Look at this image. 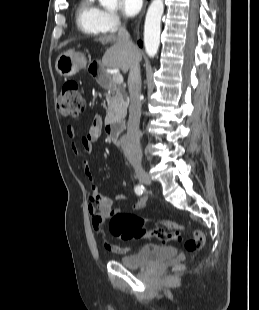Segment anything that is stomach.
<instances>
[{
    "label": "stomach",
    "instance_id": "1",
    "mask_svg": "<svg viewBox=\"0 0 259 310\" xmlns=\"http://www.w3.org/2000/svg\"><path fill=\"white\" fill-rule=\"evenodd\" d=\"M85 65V57L74 49H69L58 56L55 67L60 75L70 77L79 72Z\"/></svg>",
    "mask_w": 259,
    "mask_h": 310
}]
</instances>
